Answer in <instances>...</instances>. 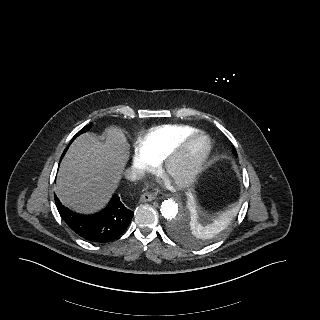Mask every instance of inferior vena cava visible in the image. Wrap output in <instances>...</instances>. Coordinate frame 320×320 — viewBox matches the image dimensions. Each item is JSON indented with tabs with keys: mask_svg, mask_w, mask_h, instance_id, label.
Wrapping results in <instances>:
<instances>
[{
	"mask_svg": "<svg viewBox=\"0 0 320 320\" xmlns=\"http://www.w3.org/2000/svg\"><path fill=\"white\" fill-rule=\"evenodd\" d=\"M144 176V172L142 170L137 169H129L125 172V177L130 181H136L142 179Z\"/></svg>",
	"mask_w": 320,
	"mask_h": 320,
	"instance_id": "obj_1",
	"label": "inferior vena cava"
}]
</instances>
